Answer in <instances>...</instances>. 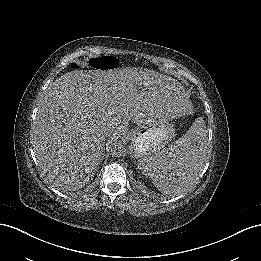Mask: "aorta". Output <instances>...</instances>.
<instances>
[{
  "label": "aorta",
  "instance_id": "762f6f07",
  "mask_svg": "<svg viewBox=\"0 0 261 261\" xmlns=\"http://www.w3.org/2000/svg\"><path fill=\"white\" fill-rule=\"evenodd\" d=\"M113 154L115 157H120L124 154V148L123 145L119 144L117 147H115Z\"/></svg>",
  "mask_w": 261,
  "mask_h": 261
}]
</instances>
